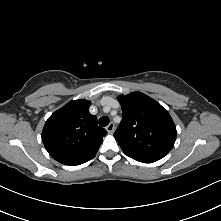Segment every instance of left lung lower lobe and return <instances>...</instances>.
<instances>
[{"instance_id": "1", "label": "left lung lower lobe", "mask_w": 221, "mask_h": 221, "mask_svg": "<svg viewBox=\"0 0 221 221\" xmlns=\"http://www.w3.org/2000/svg\"><path fill=\"white\" fill-rule=\"evenodd\" d=\"M129 157H131L132 159H134L136 161L143 162V163H152V162L157 161L154 159H149V158H145V157H141V156H129Z\"/></svg>"}]
</instances>
